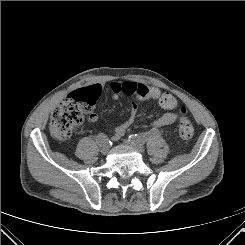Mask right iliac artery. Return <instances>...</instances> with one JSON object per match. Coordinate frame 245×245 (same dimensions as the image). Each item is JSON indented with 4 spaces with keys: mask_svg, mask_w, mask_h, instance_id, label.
I'll list each match as a JSON object with an SVG mask.
<instances>
[{
    "mask_svg": "<svg viewBox=\"0 0 245 245\" xmlns=\"http://www.w3.org/2000/svg\"><path fill=\"white\" fill-rule=\"evenodd\" d=\"M96 142L99 146H105L108 143V139L103 133H101L97 136Z\"/></svg>",
    "mask_w": 245,
    "mask_h": 245,
    "instance_id": "1",
    "label": "right iliac artery"
}]
</instances>
